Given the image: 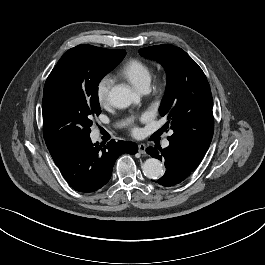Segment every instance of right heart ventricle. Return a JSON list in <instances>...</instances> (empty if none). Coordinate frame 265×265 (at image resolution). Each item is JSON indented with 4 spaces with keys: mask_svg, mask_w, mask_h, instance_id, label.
<instances>
[{
    "mask_svg": "<svg viewBox=\"0 0 265 265\" xmlns=\"http://www.w3.org/2000/svg\"><path fill=\"white\" fill-rule=\"evenodd\" d=\"M119 74L128 80L136 89L146 91L152 80L151 67L140 59H130L123 64Z\"/></svg>",
    "mask_w": 265,
    "mask_h": 265,
    "instance_id": "e07e8e85",
    "label": "right heart ventricle"
}]
</instances>
